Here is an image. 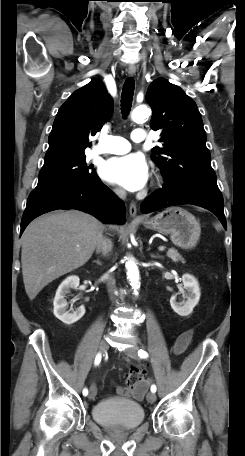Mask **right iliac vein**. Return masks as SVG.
I'll list each match as a JSON object with an SVG mask.
<instances>
[{
	"instance_id": "1",
	"label": "right iliac vein",
	"mask_w": 245,
	"mask_h": 456,
	"mask_svg": "<svg viewBox=\"0 0 245 456\" xmlns=\"http://www.w3.org/2000/svg\"><path fill=\"white\" fill-rule=\"evenodd\" d=\"M108 349V343L106 342V340H102L100 342V345H99V350L102 354H104ZM96 394H97V389H96V386L95 385H92L91 388H90V393H89V399H94L96 397Z\"/></svg>"
}]
</instances>
